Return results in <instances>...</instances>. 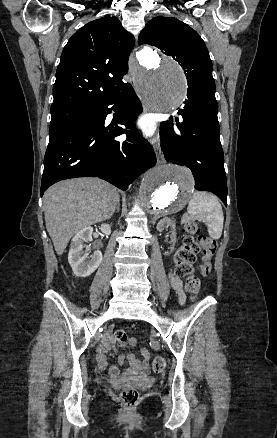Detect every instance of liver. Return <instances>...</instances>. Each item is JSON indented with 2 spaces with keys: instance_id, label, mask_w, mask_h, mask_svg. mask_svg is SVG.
I'll return each instance as SVG.
<instances>
[{
  "instance_id": "1",
  "label": "liver",
  "mask_w": 277,
  "mask_h": 438,
  "mask_svg": "<svg viewBox=\"0 0 277 438\" xmlns=\"http://www.w3.org/2000/svg\"><path fill=\"white\" fill-rule=\"evenodd\" d=\"M120 202L117 188L99 178H74L44 194L46 230L62 256L72 236L86 226L109 220Z\"/></svg>"
}]
</instances>
